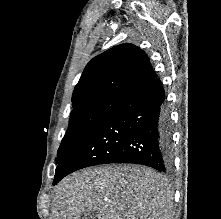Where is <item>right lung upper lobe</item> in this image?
Wrapping results in <instances>:
<instances>
[{
    "instance_id": "obj_1",
    "label": "right lung upper lobe",
    "mask_w": 221,
    "mask_h": 219,
    "mask_svg": "<svg viewBox=\"0 0 221 219\" xmlns=\"http://www.w3.org/2000/svg\"><path fill=\"white\" fill-rule=\"evenodd\" d=\"M156 78L143 50L121 44L93 58L77 83L73 107L98 99H119Z\"/></svg>"
}]
</instances>
